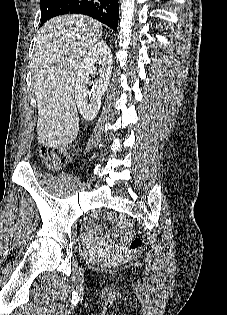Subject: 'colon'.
<instances>
[{
  "instance_id": "1",
  "label": "colon",
  "mask_w": 227,
  "mask_h": 315,
  "mask_svg": "<svg viewBox=\"0 0 227 315\" xmlns=\"http://www.w3.org/2000/svg\"><path fill=\"white\" fill-rule=\"evenodd\" d=\"M78 149L79 146L76 142H72L61 148L43 146L40 149V156L47 162L49 168L56 169L69 159L73 158L77 154ZM115 222L128 236V247L126 251L127 256L129 258L136 257L142 247V240L133 235L132 222L123 216H116ZM113 261H119V257H115Z\"/></svg>"
}]
</instances>
